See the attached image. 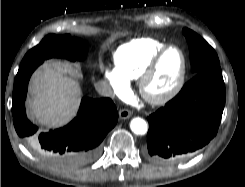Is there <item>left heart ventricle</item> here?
<instances>
[{"label":"left heart ventricle","instance_id":"left-heart-ventricle-1","mask_svg":"<svg viewBox=\"0 0 245 187\" xmlns=\"http://www.w3.org/2000/svg\"><path fill=\"white\" fill-rule=\"evenodd\" d=\"M181 68V57L176 50L168 51L160 62L157 74L149 85L153 94H161L175 82Z\"/></svg>","mask_w":245,"mask_h":187}]
</instances>
